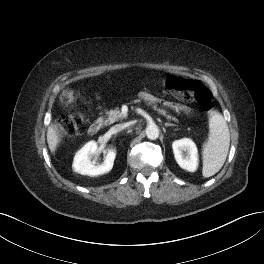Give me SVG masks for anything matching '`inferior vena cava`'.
Segmentation results:
<instances>
[{
    "instance_id": "obj_1",
    "label": "inferior vena cava",
    "mask_w": 264,
    "mask_h": 264,
    "mask_svg": "<svg viewBox=\"0 0 264 264\" xmlns=\"http://www.w3.org/2000/svg\"><path fill=\"white\" fill-rule=\"evenodd\" d=\"M123 128H124V125H116V126H113L111 129H110V131L112 132V133H117V132H120V131H122L123 130Z\"/></svg>"
}]
</instances>
